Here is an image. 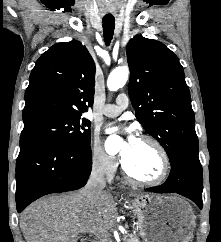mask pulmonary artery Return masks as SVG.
<instances>
[{
  "instance_id": "pulmonary-artery-1",
  "label": "pulmonary artery",
  "mask_w": 221,
  "mask_h": 242,
  "mask_svg": "<svg viewBox=\"0 0 221 242\" xmlns=\"http://www.w3.org/2000/svg\"><path fill=\"white\" fill-rule=\"evenodd\" d=\"M129 105V98L127 94L121 93L116 97V103L106 104L101 112L107 117L118 116Z\"/></svg>"
}]
</instances>
